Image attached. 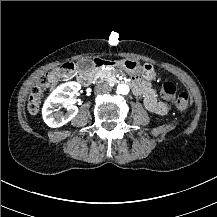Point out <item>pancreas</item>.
<instances>
[{
  "mask_svg": "<svg viewBox=\"0 0 217 217\" xmlns=\"http://www.w3.org/2000/svg\"><path fill=\"white\" fill-rule=\"evenodd\" d=\"M119 71L117 69H113V70H107V71H103L101 73V75L106 78L107 80H111L112 78H114L116 76V74H118Z\"/></svg>",
  "mask_w": 217,
  "mask_h": 217,
  "instance_id": "obj_1",
  "label": "pancreas"
}]
</instances>
